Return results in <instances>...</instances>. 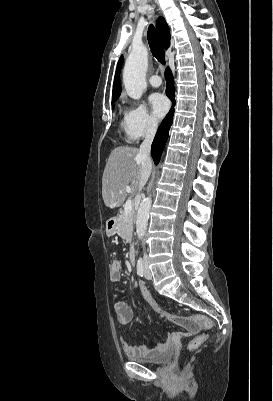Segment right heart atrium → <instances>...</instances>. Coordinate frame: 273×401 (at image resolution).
<instances>
[{"instance_id":"right-heart-atrium-1","label":"right heart atrium","mask_w":273,"mask_h":401,"mask_svg":"<svg viewBox=\"0 0 273 401\" xmlns=\"http://www.w3.org/2000/svg\"><path fill=\"white\" fill-rule=\"evenodd\" d=\"M124 128L130 140H139L152 137L158 129V123L144 105L133 102L124 111Z\"/></svg>"}]
</instances>
